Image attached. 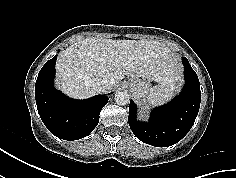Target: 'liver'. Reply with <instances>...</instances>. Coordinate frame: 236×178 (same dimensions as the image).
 Listing matches in <instances>:
<instances>
[{
	"mask_svg": "<svg viewBox=\"0 0 236 178\" xmlns=\"http://www.w3.org/2000/svg\"><path fill=\"white\" fill-rule=\"evenodd\" d=\"M56 85L73 98L84 99L97 93L95 83L107 81L114 88L127 75L161 84H172L179 65L171 50L151 40L87 38L69 46L56 62Z\"/></svg>",
	"mask_w": 236,
	"mask_h": 178,
	"instance_id": "liver-1",
	"label": "liver"
}]
</instances>
